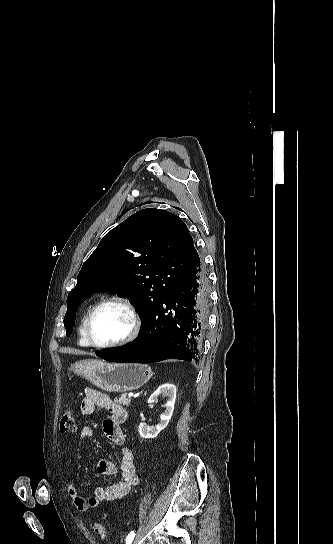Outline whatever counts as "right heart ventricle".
Instances as JSON below:
<instances>
[{"label": "right heart ventricle", "instance_id": "1", "mask_svg": "<svg viewBox=\"0 0 333 544\" xmlns=\"http://www.w3.org/2000/svg\"><path fill=\"white\" fill-rule=\"evenodd\" d=\"M91 308H92L91 306L88 307L87 310L84 312V314L81 317L79 327H78V343L82 347H89L90 346L88 341L86 340V337H85L84 326H85L86 317H87V315H88Z\"/></svg>", "mask_w": 333, "mask_h": 544}]
</instances>
